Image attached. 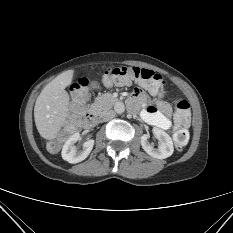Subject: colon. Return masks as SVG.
<instances>
[{
  "mask_svg": "<svg viewBox=\"0 0 233 233\" xmlns=\"http://www.w3.org/2000/svg\"><path fill=\"white\" fill-rule=\"evenodd\" d=\"M103 82L106 85H131L138 84L149 92L164 97L166 93L165 81L155 72L139 67L131 66H114L105 70ZM89 81L86 78H81L76 84L71 87V109L68 122L61 136L49 142L48 146L52 150H56L61 141L72 136L81 126L83 118L89 113L86 112V100L88 97ZM173 118L178 126L174 134L173 141L177 149L184 148L189 141V132L185 126L190 122V106L185 100H177Z\"/></svg>",
  "mask_w": 233,
  "mask_h": 233,
  "instance_id": "colon-1",
  "label": "colon"
}]
</instances>
